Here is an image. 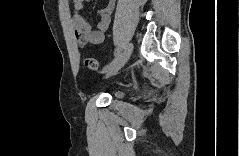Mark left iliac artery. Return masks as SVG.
Instances as JSON below:
<instances>
[{"mask_svg": "<svg viewBox=\"0 0 239 156\" xmlns=\"http://www.w3.org/2000/svg\"><path fill=\"white\" fill-rule=\"evenodd\" d=\"M121 57V48H118V51L116 53L115 58L103 68V72H106L108 69H110L111 67H113L114 65H116V63L119 61Z\"/></svg>", "mask_w": 239, "mask_h": 156, "instance_id": "obj_1", "label": "left iliac artery"}]
</instances>
